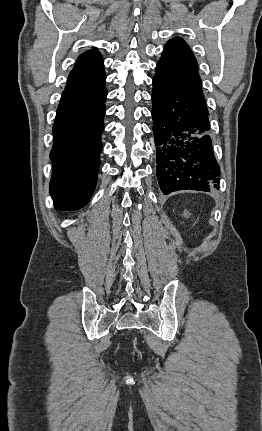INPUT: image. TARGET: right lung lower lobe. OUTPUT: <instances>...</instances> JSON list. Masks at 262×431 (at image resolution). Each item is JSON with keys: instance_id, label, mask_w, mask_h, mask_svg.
<instances>
[{"instance_id": "1", "label": "right lung lower lobe", "mask_w": 262, "mask_h": 431, "mask_svg": "<svg viewBox=\"0 0 262 431\" xmlns=\"http://www.w3.org/2000/svg\"><path fill=\"white\" fill-rule=\"evenodd\" d=\"M107 89L64 90L53 126L50 193L56 210L83 207L97 180Z\"/></svg>"}]
</instances>
